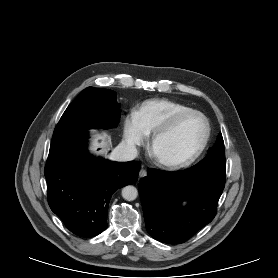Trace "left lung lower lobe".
<instances>
[{
	"instance_id": "obj_1",
	"label": "left lung lower lobe",
	"mask_w": 278,
	"mask_h": 278,
	"mask_svg": "<svg viewBox=\"0 0 278 278\" xmlns=\"http://www.w3.org/2000/svg\"><path fill=\"white\" fill-rule=\"evenodd\" d=\"M224 186L225 175L217 173L150 168L139 184L147 232L166 244L187 241L213 220Z\"/></svg>"
}]
</instances>
